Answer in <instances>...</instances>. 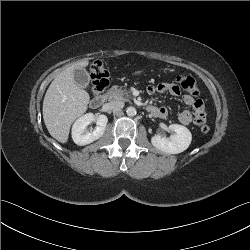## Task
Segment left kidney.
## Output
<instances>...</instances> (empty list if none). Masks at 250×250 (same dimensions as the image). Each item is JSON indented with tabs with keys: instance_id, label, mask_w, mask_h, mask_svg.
<instances>
[{
	"instance_id": "obj_1",
	"label": "left kidney",
	"mask_w": 250,
	"mask_h": 250,
	"mask_svg": "<svg viewBox=\"0 0 250 250\" xmlns=\"http://www.w3.org/2000/svg\"><path fill=\"white\" fill-rule=\"evenodd\" d=\"M169 129L174 131L175 134L169 138L155 135L151 138L152 145L168 154H179L185 151L192 140L191 132L186 127L178 124L169 125Z\"/></svg>"
}]
</instances>
